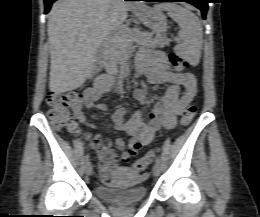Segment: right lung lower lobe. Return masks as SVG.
I'll return each instance as SVG.
<instances>
[{
  "label": "right lung lower lobe",
  "mask_w": 260,
  "mask_h": 217,
  "mask_svg": "<svg viewBox=\"0 0 260 217\" xmlns=\"http://www.w3.org/2000/svg\"><path fill=\"white\" fill-rule=\"evenodd\" d=\"M56 0H44L45 2V14L49 12L52 3H54ZM125 1H131V0H125Z\"/></svg>",
  "instance_id": "right-lung-lower-lobe-1"
}]
</instances>
